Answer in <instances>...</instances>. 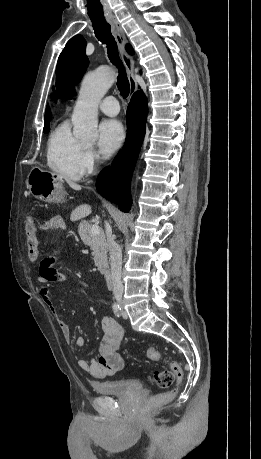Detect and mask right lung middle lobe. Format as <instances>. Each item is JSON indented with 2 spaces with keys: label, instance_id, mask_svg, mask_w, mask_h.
<instances>
[{
  "label": "right lung middle lobe",
  "instance_id": "dd1d6c3e",
  "mask_svg": "<svg viewBox=\"0 0 261 459\" xmlns=\"http://www.w3.org/2000/svg\"><path fill=\"white\" fill-rule=\"evenodd\" d=\"M49 124H50V123H46V124H45L44 129H43V132H44V133H48V132H49V129H50V128H49Z\"/></svg>",
  "mask_w": 261,
  "mask_h": 459
}]
</instances>
